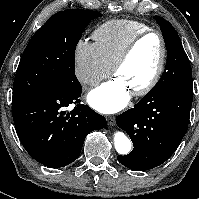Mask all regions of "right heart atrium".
<instances>
[{
  "label": "right heart atrium",
  "instance_id": "obj_1",
  "mask_svg": "<svg viewBox=\"0 0 199 199\" xmlns=\"http://www.w3.org/2000/svg\"><path fill=\"white\" fill-rule=\"evenodd\" d=\"M74 72L81 84L95 86L111 73V65L95 43L81 39L74 49Z\"/></svg>",
  "mask_w": 199,
  "mask_h": 199
}]
</instances>
